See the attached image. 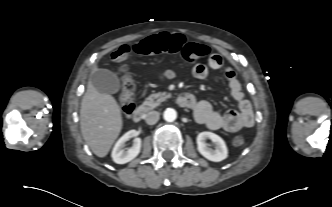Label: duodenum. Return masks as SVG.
I'll return each mask as SVG.
<instances>
[{
	"instance_id": "obj_1",
	"label": "duodenum",
	"mask_w": 332,
	"mask_h": 207,
	"mask_svg": "<svg viewBox=\"0 0 332 207\" xmlns=\"http://www.w3.org/2000/svg\"><path fill=\"white\" fill-rule=\"evenodd\" d=\"M177 104L183 108H192L195 104V98L192 94L182 93L177 98ZM148 110L149 108L147 106L139 107L133 112V120L135 122H141L145 118Z\"/></svg>"
}]
</instances>
